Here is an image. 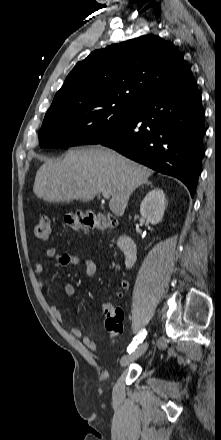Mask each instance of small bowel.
I'll list each match as a JSON object with an SVG mask.
<instances>
[{
    "instance_id": "small-bowel-1",
    "label": "small bowel",
    "mask_w": 221,
    "mask_h": 440,
    "mask_svg": "<svg viewBox=\"0 0 221 440\" xmlns=\"http://www.w3.org/2000/svg\"><path fill=\"white\" fill-rule=\"evenodd\" d=\"M45 256L48 259H52L54 261L55 267H64L70 265H81L84 269L86 276L92 277L96 274L97 267L94 261L90 259H81L77 255L67 254V253H57V251L53 247H49L45 251ZM35 273L40 276L44 271V265L41 261L37 262L34 266ZM40 285L45 287V282L40 280ZM128 287L127 281H121L120 288L126 289ZM63 292L68 297H73L76 294V288L72 283H65L63 286ZM50 311L54 318L62 322L64 320V316L57 305H50ZM72 336L76 338H81L85 347L90 350L97 349V343L90 337L84 336L81 329L78 327H72L70 329Z\"/></svg>"
}]
</instances>
